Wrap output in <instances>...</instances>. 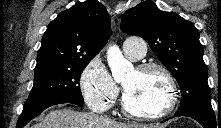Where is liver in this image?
<instances>
[{
	"mask_svg": "<svg viewBox=\"0 0 221 128\" xmlns=\"http://www.w3.org/2000/svg\"><path fill=\"white\" fill-rule=\"evenodd\" d=\"M32 128H165V125L123 124L93 112L64 108L50 111Z\"/></svg>",
	"mask_w": 221,
	"mask_h": 128,
	"instance_id": "1",
	"label": "liver"
}]
</instances>
